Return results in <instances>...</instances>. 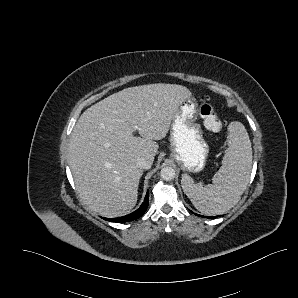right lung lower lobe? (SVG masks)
Masks as SVG:
<instances>
[{
  "label": "right lung lower lobe",
  "instance_id": "98d812e1",
  "mask_svg": "<svg viewBox=\"0 0 298 298\" xmlns=\"http://www.w3.org/2000/svg\"><path fill=\"white\" fill-rule=\"evenodd\" d=\"M149 193H147L144 202L142 203V205L140 206L139 209H137L136 211H134L131 214H128L126 216L123 217H119V218H112V219H107V218H103L105 220L111 221V222H128V221H132L135 219L140 218L146 211L148 205H149Z\"/></svg>",
  "mask_w": 298,
  "mask_h": 298
}]
</instances>
